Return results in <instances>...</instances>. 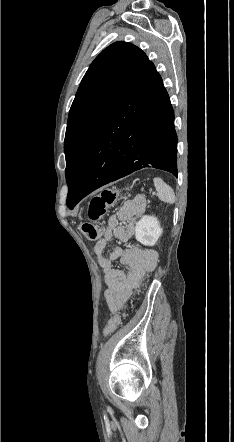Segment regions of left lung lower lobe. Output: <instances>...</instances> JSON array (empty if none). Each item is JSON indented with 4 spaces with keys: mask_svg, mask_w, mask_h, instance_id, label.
I'll list each match as a JSON object with an SVG mask.
<instances>
[{
    "mask_svg": "<svg viewBox=\"0 0 234 442\" xmlns=\"http://www.w3.org/2000/svg\"><path fill=\"white\" fill-rule=\"evenodd\" d=\"M176 154L174 112L149 62L93 140L67 206L73 209L93 190L145 167L177 177Z\"/></svg>",
    "mask_w": 234,
    "mask_h": 442,
    "instance_id": "obj_1",
    "label": "left lung lower lobe"
}]
</instances>
